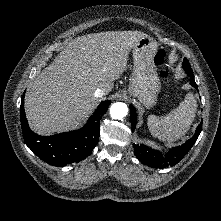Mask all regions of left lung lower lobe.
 I'll use <instances>...</instances> for the list:
<instances>
[{
  "mask_svg": "<svg viewBox=\"0 0 221 221\" xmlns=\"http://www.w3.org/2000/svg\"><path fill=\"white\" fill-rule=\"evenodd\" d=\"M186 73L190 76V84L197 89V84L194 80V74L191 68H186ZM131 110V125L132 131L136 127V111L134 106H130ZM202 130V123L198 125L194 136L182 144L181 146L173 147L166 155H162L159 151L153 150L145 145L133 144L134 154L145 165L153 168H165L177 164L195 144L200 132Z\"/></svg>",
  "mask_w": 221,
  "mask_h": 221,
  "instance_id": "obj_1",
  "label": "left lung lower lobe"
}]
</instances>
